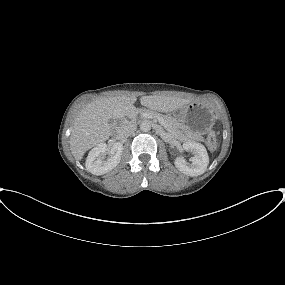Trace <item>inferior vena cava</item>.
I'll use <instances>...</instances> for the list:
<instances>
[{
	"mask_svg": "<svg viewBox=\"0 0 285 285\" xmlns=\"http://www.w3.org/2000/svg\"><path fill=\"white\" fill-rule=\"evenodd\" d=\"M136 130V125L133 123H127L124 125H121L117 130V137L120 139L129 137L132 133H134Z\"/></svg>",
	"mask_w": 285,
	"mask_h": 285,
	"instance_id": "1",
	"label": "inferior vena cava"
}]
</instances>
